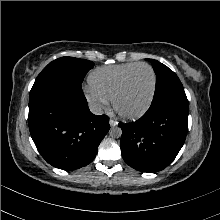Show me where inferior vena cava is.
I'll list each match as a JSON object with an SVG mask.
<instances>
[{"label":"inferior vena cava","instance_id":"obj_1","mask_svg":"<svg viewBox=\"0 0 220 220\" xmlns=\"http://www.w3.org/2000/svg\"><path fill=\"white\" fill-rule=\"evenodd\" d=\"M90 112L94 115H102L103 114V106L100 103H90L89 104Z\"/></svg>","mask_w":220,"mask_h":220}]
</instances>
